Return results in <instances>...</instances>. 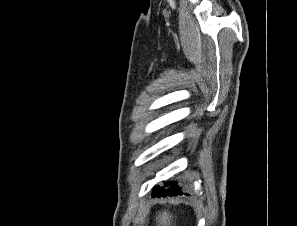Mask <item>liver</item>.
<instances>
[{"mask_svg":"<svg viewBox=\"0 0 297 226\" xmlns=\"http://www.w3.org/2000/svg\"><path fill=\"white\" fill-rule=\"evenodd\" d=\"M173 222V215L164 211H159L158 215L156 216V226H172Z\"/></svg>","mask_w":297,"mask_h":226,"instance_id":"1","label":"liver"}]
</instances>
